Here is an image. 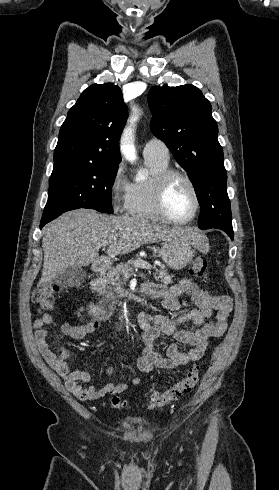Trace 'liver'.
Here are the masks:
<instances>
[{
    "label": "liver",
    "instance_id": "liver-1",
    "mask_svg": "<svg viewBox=\"0 0 279 490\" xmlns=\"http://www.w3.org/2000/svg\"><path fill=\"white\" fill-rule=\"evenodd\" d=\"M44 234L43 272L37 288L57 278L69 266L98 264V252L105 242L109 244L106 254L120 256L134 252L147 242H167L174 236H181L203 252L202 236L193 228H163L148 224L142 218L103 216L83 208L65 212L47 224Z\"/></svg>",
    "mask_w": 279,
    "mask_h": 490
}]
</instances>
